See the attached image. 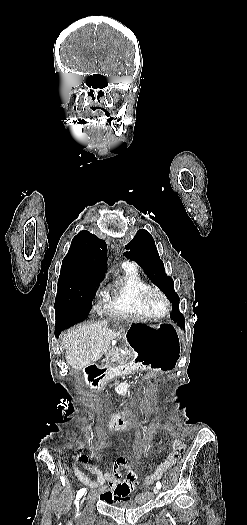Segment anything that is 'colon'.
<instances>
[{"label":"colon","mask_w":247,"mask_h":525,"mask_svg":"<svg viewBox=\"0 0 247 525\" xmlns=\"http://www.w3.org/2000/svg\"><path fill=\"white\" fill-rule=\"evenodd\" d=\"M97 424L99 426L111 427V430L126 432L134 431V426L140 427L139 421L134 418H105L99 419Z\"/></svg>","instance_id":"obj_1"}]
</instances>
